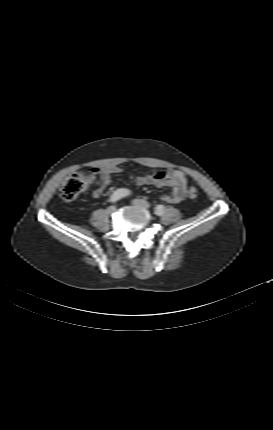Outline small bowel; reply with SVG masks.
Wrapping results in <instances>:
<instances>
[{
	"label": "small bowel",
	"instance_id": "small-bowel-1",
	"mask_svg": "<svg viewBox=\"0 0 273 430\" xmlns=\"http://www.w3.org/2000/svg\"><path fill=\"white\" fill-rule=\"evenodd\" d=\"M95 171L100 177V185L93 191V196L99 198L103 194L105 188L110 184L111 175L119 173L121 170L116 166H111L95 168ZM135 182L139 186L153 185L156 187H170L172 190L171 194L161 197V200L165 203L181 202L187 190V177L179 170H163L141 175L136 178Z\"/></svg>",
	"mask_w": 273,
	"mask_h": 430
}]
</instances>
